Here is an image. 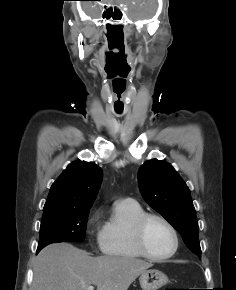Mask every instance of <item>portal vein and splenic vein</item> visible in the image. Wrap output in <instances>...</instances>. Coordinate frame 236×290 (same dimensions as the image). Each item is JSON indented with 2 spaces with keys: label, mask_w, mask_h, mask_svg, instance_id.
I'll list each match as a JSON object with an SVG mask.
<instances>
[{
  "label": "portal vein and splenic vein",
  "mask_w": 236,
  "mask_h": 290,
  "mask_svg": "<svg viewBox=\"0 0 236 290\" xmlns=\"http://www.w3.org/2000/svg\"><path fill=\"white\" fill-rule=\"evenodd\" d=\"M87 290H94V286H89Z\"/></svg>",
  "instance_id": "portal-vein-and-splenic-vein-1"
}]
</instances>
